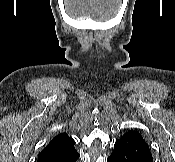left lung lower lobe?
Returning <instances> with one entry per match:
<instances>
[{
	"mask_svg": "<svg viewBox=\"0 0 175 162\" xmlns=\"http://www.w3.org/2000/svg\"><path fill=\"white\" fill-rule=\"evenodd\" d=\"M107 162H153V158L141 135L126 132L115 142L114 151Z\"/></svg>",
	"mask_w": 175,
	"mask_h": 162,
	"instance_id": "1",
	"label": "left lung lower lobe"
}]
</instances>
